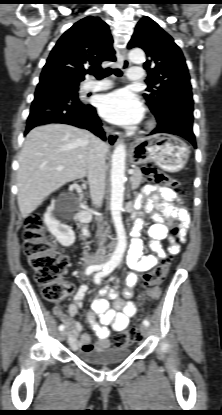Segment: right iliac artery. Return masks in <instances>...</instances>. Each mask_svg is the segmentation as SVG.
<instances>
[{
	"mask_svg": "<svg viewBox=\"0 0 222 415\" xmlns=\"http://www.w3.org/2000/svg\"><path fill=\"white\" fill-rule=\"evenodd\" d=\"M106 266L107 265H92V266H89V267L86 268L85 274L86 275H90L94 271H99V270L105 269ZM64 328H65V326L63 324H61L59 326V330L60 331H63Z\"/></svg>",
	"mask_w": 222,
	"mask_h": 415,
	"instance_id": "obj_1",
	"label": "right iliac artery"
}]
</instances>
